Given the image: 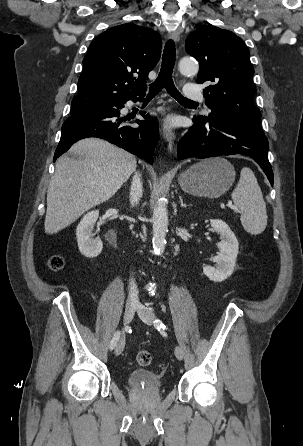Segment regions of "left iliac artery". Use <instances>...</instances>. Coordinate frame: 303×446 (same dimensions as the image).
I'll return each instance as SVG.
<instances>
[{"instance_id": "left-iliac-artery-1", "label": "left iliac artery", "mask_w": 303, "mask_h": 446, "mask_svg": "<svg viewBox=\"0 0 303 446\" xmlns=\"http://www.w3.org/2000/svg\"><path fill=\"white\" fill-rule=\"evenodd\" d=\"M154 326L158 329V330H165L166 326L162 323L161 320L159 319H155L154 320Z\"/></svg>"}]
</instances>
